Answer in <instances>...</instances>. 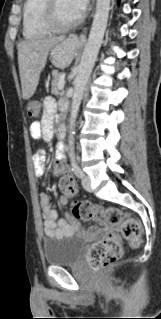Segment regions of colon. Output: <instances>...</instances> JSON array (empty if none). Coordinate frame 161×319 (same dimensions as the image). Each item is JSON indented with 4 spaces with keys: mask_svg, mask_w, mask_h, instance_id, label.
<instances>
[{
    "mask_svg": "<svg viewBox=\"0 0 161 319\" xmlns=\"http://www.w3.org/2000/svg\"><path fill=\"white\" fill-rule=\"evenodd\" d=\"M27 114L31 118L39 117L40 104L31 102L27 107ZM60 185L65 191L73 187L72 181L68 178L61 179ZM72 215L83 220H106L121 228L122 236L111 233L95 242L87 251V263L95 273L111 267L121 258L123 239L131 245H138L141 242V229L138 221L134 218H123L122 210L117 207H104L87 201H75L72 205Z\"/></svg>",
    "mask_w": 161,
    "mask_h": 319,
    "instance_id": "colon-1",
    "label": "colon"
}]
</instances>
